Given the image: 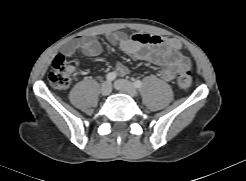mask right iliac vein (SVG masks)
Wrapping results in <instances>:
<instances>
[{
	"label": "right iliac vein",
	"mask_w": 246,
	"mask_h": 181,
	"mask_svg": "<svg viewBox=\"0 0 246 181\" xmlns=\"http://www.w3.org/2000/svg\"><path fill=\"white\" fill-rule=\"evenodd\" d=\"M112 90L111 84L109 82H104L100 88V93L103 96H107L110 94Z\"/></svg>",
	"instance_id": "right-iliac-vein-1"
}]
</instances>
